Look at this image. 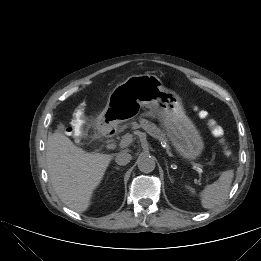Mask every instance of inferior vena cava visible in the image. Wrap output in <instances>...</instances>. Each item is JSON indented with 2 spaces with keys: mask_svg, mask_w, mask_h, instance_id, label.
Listing matches in <instances>:
<instances>
[{
  "mask_svg": "<svg viewBox=\"0 0 261 261\" xmlns=\"http://www.w3.org/2000/svg\"><path fill=\"white\" fill-rule=\"evenodd\" d=\"M132 159L131 154H129L126 151H122L116 155L115 161L118 165H126L128 164Z\"/></svg>",
  "mask_w": 261,
  "mask_h": 261,
  "instance_id": "obj_1",
  "label": "inferior vena cava"
}]
</instances>
